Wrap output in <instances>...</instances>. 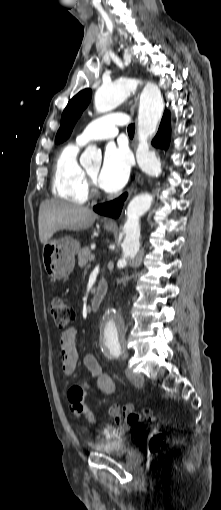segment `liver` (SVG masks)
Listing matches in <instances>:
<instances>
[{
	"mask_svg": "<svg viewBox=\"0 0 221 510\" xmlns=\"http://www.w3.org/2000/svg\"><path fill=\"white\" fill-rule=\"evenodd\" d=\"M97 217V214L87 207L54 199L45 200L39 208L40 242L46 244L60 230L87 229Z\"/></svg>",
	"mask_w": 221,
	"mask_h": 510,
	"instance_id": "6515ba94",
	"label": "liver"
}]
</instances>
